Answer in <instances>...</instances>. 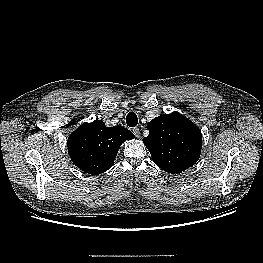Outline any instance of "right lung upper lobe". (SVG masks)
Listing matches in <instances>:
<instances>
[{
  "label": "right lung upper lobe",
  "instance_id": "obj_1",
  "mask_svg": "<svg viewBox=\"0 0 263 263\" xmlns=\"http://www.w3.org/2000/svg\"><path fill=\"white\" fill-rule=\"evenodd\" d=\"M96 121L85 130L80 152L75 156L80 167L88 173L105 171L112 163L121 143L128 133L117 129L95 127Z\"/></svg>",
  "mask_w": 263,
  "mask_h": 263
}]
</instances>
